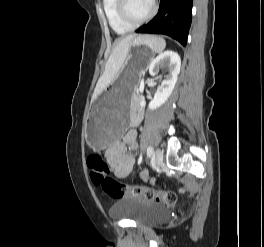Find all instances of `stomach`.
<instances>
[{"mask_svg":"<svg viewBox=\"0 0 264 247\" xmlns=\"http://www.w3.org/2000/svg\"><path fill=\"white\" fill-rule=\"evenodd\" d=\"M140 36L132 42L134 48L124 58L126 63L104 96L94 101L86 122V141L94 150H103L123 136L129 123L130 102L139 75L149 68L152 48Z\"/></svg>","mask_w":264,"mask_h":247,"instance_id":"stomach-1","label":"stomach"}]
</instances>
